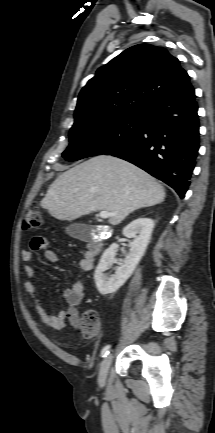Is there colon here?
<instances>
[{"mask_svg": "<svg viewBox=\"0 0 215 433\" xmlns=\"http://www.w3.org/2000/svg\"><path fill=\"white\" fill-rule=\"evenodd\" d=\"M42 219L39 212V207L36 204L29 206L24 214L22 228L24 231H32L41 226ZM83 335L90 338L94 335L98 324L99 316L94 310H88L83 315Z\"/></svg>", "mask_w": 215, "mask_h": 433, "instance_id": "1", "label": "colon"}]
</instances>
